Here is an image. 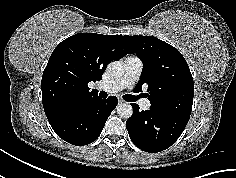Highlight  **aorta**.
<instances>
[{"mask_svg":"<svg viewBox=\"0 0 236 178\" xmlns=\"http://www.w3.org/2000/svg\"><path fill=\"white\" fill-rule=\"evenodd\" d=\"M108 72L111 76L118 78L124 74V66L120 61H112L108 64ZM117 114L124 119H128L133 114V108L130 103L124 102L117 106Z\"/></svg>","mask_w":236,"mask_h":178,"instance_id":"obj_1","label":"aorta"}]
</instances>
